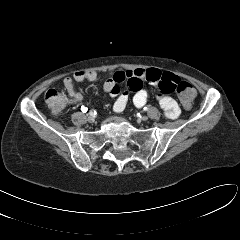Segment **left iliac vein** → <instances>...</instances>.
<instances>
[{
    "mask_svg": "<svg viewBox=\"0 0 240 240\" xmlns=\"http://www.w3.org/2000/svg\"><path fill=\"white\" fill-rule=\"evenodd\" d=\"M139 120L146 121V120H148V117L143 115V116L139 117Z\"/></svg>",
    "mask_w": 240,
    "mask_h": 240,
    "instance_id": "4c4485c4",
    "label": "left iliac vein"
}]
</instances>
